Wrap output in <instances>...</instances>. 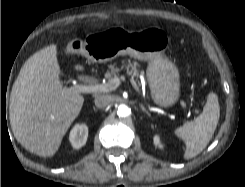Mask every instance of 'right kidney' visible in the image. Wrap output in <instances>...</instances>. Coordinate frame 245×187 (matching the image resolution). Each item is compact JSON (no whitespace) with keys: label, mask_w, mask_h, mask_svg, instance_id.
<instances>
[{"label":"right kidney","mask_w":245,"mask_h":187,"mask_svg":"<svg viewBox=\"0 0 245 187\" xmlns=\"http://www.w3.org/2000/svg\"><path fill=\"white\" fill-rule=\"evenodd\" d=\"M88 137V127L85 124H76L70 132L69 140L73 148L79 149L85 145Z\"/></svg>","instance_id":"obj_1"}]
</instances>
